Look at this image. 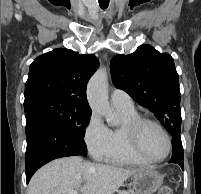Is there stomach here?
<instances>
[{
  "label": "stomach",
  "instance_id": "obj_1",
  "mask_svg": "<svg viewBox=\"0 0 201 194\" xmlns=\"http://www.w3.org/2000/svg\"><path fill=\"white\" fill-rule=\"evenodd\" d=\"M162 183L163 176L150 168L141 169L132 177L135 194H154Z\"/></svg>",
  "mask_w": 201,
  "mask_h": 194
}]
</instances>
